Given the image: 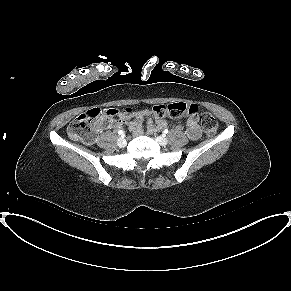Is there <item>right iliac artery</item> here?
<instances>
[{
    "label": "right iliac artery",
    "mask_w": 291,
    "mask_h": 291,
    "mask_svg": "<svg viewBox=\"0 0 291 291\" xmlns=\"http://www.w3.org/2000/svg\"><path fill=\"white\" fill-rule=\"evenodd\" d=\"M118 134L121 135V136H123L124 135V131L123 130H119L118 131Z\"/></svg>",
    "instance_id": "obj_1"
}]
</instances>
